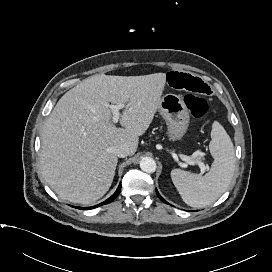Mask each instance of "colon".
<instances>
[{
	"instance_id": "5ec220e1",
	"label": "colon",
	"mask_w": 272,
	"mask_h": 272,
	"mask_svg": "<svg viewBox=\"0 0 272 272\" xmlns=\"http://www.w3.org/2000/svg\"><path fill=\"white\" fill-rule=\"evenodd\" d=\"M184 102L191 115L196 119L206 116L210 110V104L206 98L198 95L187 94L184 96Z\"/></svg>"
}]
</instances>
